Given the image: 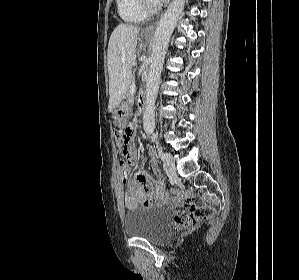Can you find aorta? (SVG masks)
Returning <instances> with one entry per match:
<instances>
[{
	"label": "aorta",
	"mask_w": 299,
	"mask_h": 280,
	"mask_svg": "<svg viewBox=\"0 0 299 280\" xmlns=\"http://www.w3.org/2000/svg\"><path fill=\"white\" fill-rule=\"evenodd\" d=\"M185 0H173L167 11L161 17L152 45L150 69L146 81V107L143 116L144 130L151 134L155 128V102L157 98L161 72L170 37L178 18L184 9Z\"/></svg>",
	"instance_id": "1"
}]
</instances>
